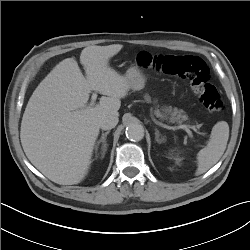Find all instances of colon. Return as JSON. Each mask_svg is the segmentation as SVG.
Here are the masks:
<instances>
[{
    "label": "colon",
    "mask_w": 250,
    "mask_h": 250,
    "mask_svg": "<svg viewBox=\"0 0 250 250\" xmlns=\"http://www.w3.org/2000/svg\"><path fill=\"white\" fill-rule=\"evenodd\" d=\"M139 66L189 82L198 100L211 113H220L223 101L215 86L209 83V69L194 55L151 54L142 51L137 55Z\"/></svg>",
    "instance_id": "obj_1"
}]
</instances>
